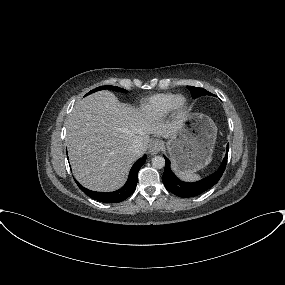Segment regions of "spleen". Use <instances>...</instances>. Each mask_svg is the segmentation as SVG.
<instances>
[{
    "label": "spleen",
    "instance_id": "obj_1",
    "mask_svg": "<svg viewBox=\"0 0 285 285\" xmlns=\"http://www.w3.org/2000/svg\"><path fill=\"white\" fill-rule=\"evenodd\" d=\"M179 177L186 181H194V180L199 179L200 176L194 173L182 172V173H179Z\"/></svg>",
    "mask_w": 285,
    "mask_h": 285
}]
</instances>
